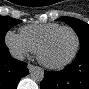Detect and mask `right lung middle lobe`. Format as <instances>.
Segmentation results:
<instances>
[{
	"instance_id": "right-lung-middle-lobe-1",
	"label": "right lung middle lobe",
	"mask_w": 89,
	"mask_h": 89,
	"mask_svg": "<svg viewBox=\"0 0 89 89\" xmlns=\"http://www.w3.org/2000/svg\"><path fill=\"white\" fill-rule=\"evenodd\" d=\"M19 23H21L20 20L8 16H0V46L5 45L4 39L7 31Z\"/></svg>"
}]
</instances>
